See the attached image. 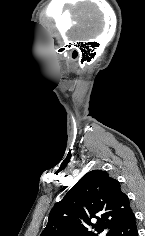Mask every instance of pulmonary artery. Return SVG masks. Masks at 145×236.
<instances>
[{"instance_id":"1","label":"pulmonary artery","mask_w":145,"mask_h":236,"mask_svg":"<svg viewBox=\"0 0 145 236\" xmlns=\"http://www.w3.org/2000/svg\"><path fill=\"white\" fill-rule=\"evenodd\" d=\"M108 232V230H105V233H107Z\"/></svg>"}]
</instances>
